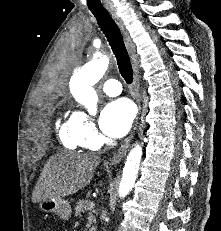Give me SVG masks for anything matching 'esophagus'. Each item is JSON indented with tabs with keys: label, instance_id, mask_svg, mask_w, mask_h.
<instances>
[{
	"label": "esophagus",
	"instance_id": "obj_1",
	"mask_svg": "<svg viewBox=\"0 0 221 231\" xmlns=\"http://www.w3.org/2000/svg\"><path fill=\"white\" fill-rule=\"evenodd\" d=\"M112 18L115 20L117 25L119 26L125 40V44L131 59V64L133 68V96L134 99L136 100L137 106H138V114L136 117L135 124L133 126V129L131 131V134L125 139L124 143L121 145V147L118 149V151L113 155V157L110 160L111 165H116L119 163L123 157L126 155L127 150L130 146V142L133 139L134 132L136 130L137 124H138V119L141 114V96H140V84H139V65H138V56L136 54L135 46L128 34V32L125 30V27L116 14L115 11L110 10L109 11Z\"/></svg>",
	"mask_w": 221,
	"mask_h": 231
}]
</instances>
